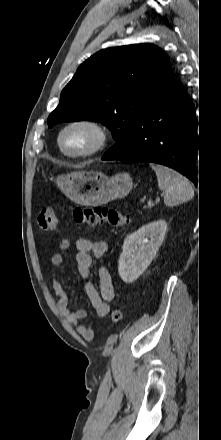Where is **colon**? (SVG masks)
<instances>
[{
	"label": "colon",
	"instance_id": "1",
	"mask_svg": "<svg viewBox=\"0 0 221 440\" xmlns=\"http://www.w3.org/2000/svg\"><path fill=\"white\" fill-rule=\"evenodd\" d=\"M75 222L85 227H97L102 224L121 227L129 224L130 217L118 210L106 207H76L72 211ZM38 223L44 231H54L57 219L53 207L45 206L38 215ZM123 314L118 308L114 309L111 319L114 324L122 321Z\"/></svg>",
	"mask_w": 221,
	"mask_h": 440
}]
</instances>
